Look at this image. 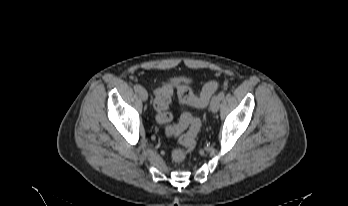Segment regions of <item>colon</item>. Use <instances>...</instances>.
I'll list each match as a JSON object with an SVG mask.
<instances>
[{
    "label": "colon",
    "instance_id": "1",
    "mask_svg": "<svg viewBox=\"0 0 348 206\" xmlns=\"http://www.w3.org/2000/svg\"><path fill=\"white\" fill-rule=\"evenodd\" d=\"M218 87L219 84L216 81H209L204 85L200 96H195L192 89L187 86H179L174 89L173 87L166 85L160 88L156 92L154 100L157 120L161 124H167L171 121L172 115L168 111V106L174 91H176L178 100L181 104H188L196 108H201L208 104L210 97L214 92H216ZM200 126V121L197 118L189 113H184L181 116L179 124L166 128L168 136L180 135L179 142L182 145V148L175 149L171 154V158L175 163L183 162L187 153L195 147L196 137L200 130ZM185 129H187V132L181 134Z\"/></svg>",
    "mask_w": 348,
    "mask_h": 206
}]
</instances>
